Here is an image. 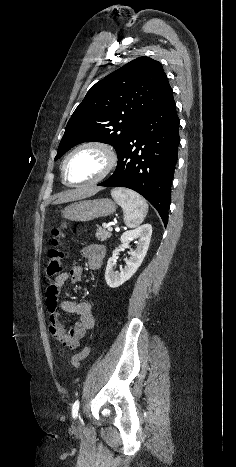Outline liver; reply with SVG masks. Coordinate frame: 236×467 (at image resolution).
<instances>
[{
  "mask_svg": "<svg viewBox=\"0 0 236 467\" xmlns=\"http://www.w3.org/2000/svg\"><path fill=\"white\" fill-rule=\"evenodd\" d=\"M101 188L98 187H81L76 190H70L65 193H61L57 196V199L53 204H62L75 200H80L96 194Z\"/></svg>",
  "mask_w": 236,
  "mask_h": 467,
  "instance_id": "1",
  "label": "liver"
}]
</instances>
